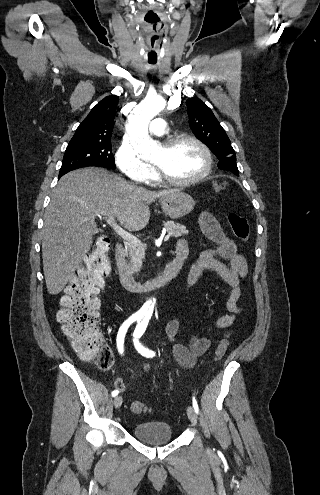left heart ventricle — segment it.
I'll use <instances>...</instances> for the list:
<instances>
[{
	"label": "left heart ventricle",
	"mask_w": 320,
	"mask_h": 495,
	"mask_svg": "<svg viewBox=\"0 0 320 495\" xmlns=\"http://www.w3.org/2000/svg\"><path fill=\"white\" fill-rule=\"evenodd\" d=\"M174 179H189L200 174L205 159L193 143L183 142L170 149L161 147L152 161Z\"/></svg>",
	"instance_id": "left-heart-ventricle-1"
}]
</instances>
